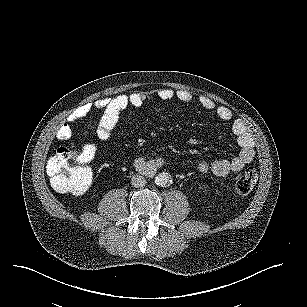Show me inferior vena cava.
<instances>
[{
	"instance_id": "1",
	"label": "inferior vena cava",
	"mask_w": 307,
	"mask_h": 307,
	"mask_svg": "<svg viewBox=\"0 0 307 307\" xmlns=\"http://www.w3.org/2000/svg\"><path fill=\"white\" fill-rule=\"evenodd\" d=\"M147 181L144 176L140 174H134L131 177V185L135 188H141L146 185Z\"/></svg>"
}]
</instances>
